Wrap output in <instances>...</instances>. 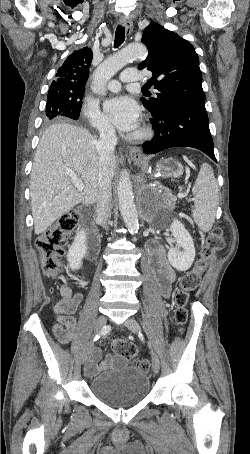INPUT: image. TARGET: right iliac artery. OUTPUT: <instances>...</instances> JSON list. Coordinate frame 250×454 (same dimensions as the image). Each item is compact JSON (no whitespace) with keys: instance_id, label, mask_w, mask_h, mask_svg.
I'll return each instance as SVG.
<instances>
[{"instance_id":"1","label":"right iliac artery","mask_w":250,"mask_h":454,"mask_svg":"<svg viewBox=\"0 0 250 454\" xmlns=\"http://www.w3.org/2000/svg\"><path fill=\"white\" fill-rule=\"evenodd\" d=\"M110 331L109 326H105L95 337L94 341H97L101 336H105Z\"/></svg>"}]
</instances>
